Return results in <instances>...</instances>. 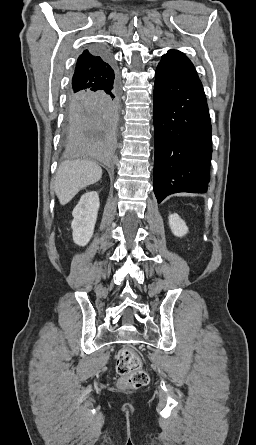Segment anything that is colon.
I'll return each mask as SVG.
<instances>
[{
  "label": "colon",
  "mask_w": 256,
  "mask_h": 445,
  "mask_svg": "<svg viewBox=\"0 0 256 445\" xmlns=\"http://www.w3.org/2000/svg\"><path fill=\"white\" fill-rule=\"evenodd\" d=\"M116 371L119 375V384L124 388H142L149 381L140 356L130 347H124L119 351Z\"/></svg>",
  "instance_id": "colon-1"
}]
</instances>
